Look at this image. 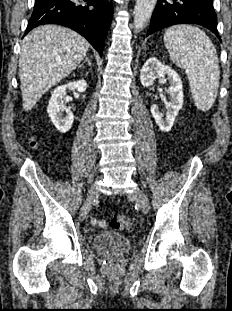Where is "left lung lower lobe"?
Segmentation results:
<instances>
[{
  "instance_id": "1",
  "label": "left lung lower lobe",
  "mask_w": 232,
  "mask_h": 311,
  "mask_svg": "<svg viewBox=\"0 0 232 311\" xmlns=\"http://www.w3.org/2000/svg\"><path fill=\"white\" fill-rule=\"evenodd\" d=\"M183 23L202 25L220 39L213 0H158L147 35Z\"/></svg>"
}]
</instances>
